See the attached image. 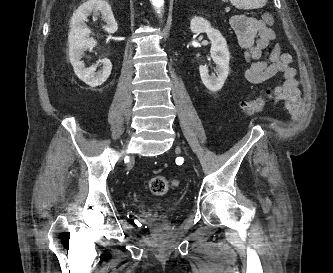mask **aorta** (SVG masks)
Wrapping results in <instances>:
<instances>
[{"label":"aorta","instance_id":"1","mask_svg":"<svg viewBox=\"0 0 333 273\" xmlns=\"http://www.w3.org/2000/svg\"><path fill=\"white\" fill-rule=\"evenodd\" d=\"M150 2L155 7L157 12L160 13L164 6V0H150Z\"/></svg>","mask_w":333,"mask_h":273}]
</instances>
